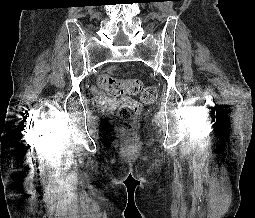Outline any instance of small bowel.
<instances>
[{
  "label": "small bowel",
  "instance_id": "small-bowel-1",
  "mask_svg": "<svg viewBox=\"0 0 255 218\" xmlns=\"http://www.w3.org/2000/svg\"><path fill=\"white\" fill-rule=\"evenodd\" d=\"M96 98L97 99H102V96L100 95V94H97L96 95ZM109 104H115V102L114 101H112V100H106Z\"/></svg>",
  "mask_w": 255,
  "mask_h": 218
}]
</instances>
